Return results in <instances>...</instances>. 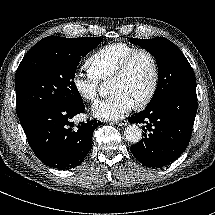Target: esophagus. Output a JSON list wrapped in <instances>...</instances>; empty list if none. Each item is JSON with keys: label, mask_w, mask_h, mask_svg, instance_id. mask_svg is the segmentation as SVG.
<instances>
[{"label": "esophagus", "mask_w": 215, "mask_h": 215, "mask_svg": "<svg viewBox=\"0 0 215 215\" xmlns=\"http://www.w3.org/2000/svg\"><path fill=\"white\" fill-rule=\"evenodd\" d=\"M116 124H117L118 126H124V125L127 124V121H126V120H119V121L116 122Z\"/></svg>", "instance_id": "1"}]
</instances>
